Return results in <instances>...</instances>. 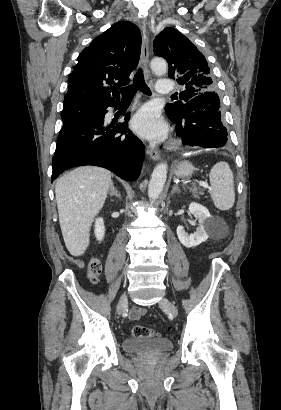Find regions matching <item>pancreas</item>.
Wrapping results in <instances>:
<instances>
[{
    "label": "pancreas",
    "instance_id": "1",
    "mask_svg": "<svg viewBox=\"0 0 281 410\" xmlns=\"http://www.w3.org/2000/svg\"><path fill=\"white\" fill-rule=\"evenodd\" d=\"M189 191L194 195V197H199V195H201V194H203V192L199 189V188H197V187H192V188H189Z\"/></svg>",
    "mask_w": 281,
    "mask_h": 410
}]
</instances>
